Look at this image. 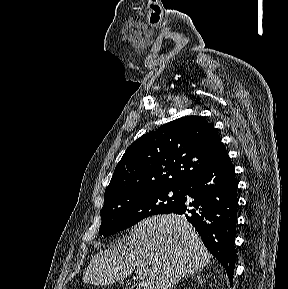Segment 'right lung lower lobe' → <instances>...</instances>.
Listing matches in <instances>:
<instances>
[{"mask_svg":"<svg viewBox=\"0 0 288 289\" xmlns=\"http://www.w3.org/2000/svg\"><path fill=\"white\" fill-rule=\"evenodd\" d=\"M181 189L182 200L169 213L186 217L210 253L222 263L232 283L236 261L238 184L227 152ZM186 194L191 197L190 201H187Z\"/></svg>","mask_w":288,"mask_h":289,"instance_id":"right-lung-lower-lobe-1","label":"right lung lower lobe"}]
</instances>
